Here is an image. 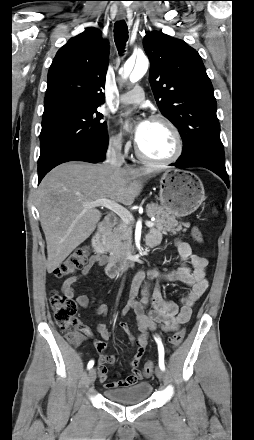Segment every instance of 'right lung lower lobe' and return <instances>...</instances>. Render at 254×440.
<instances>
[{
  "mask_svg": "<svg viewBox=\"0 0 254 440\" xmlns=\"http://www.w3.org/2000/svg\"><path fill=\"white\" fill-rule=\"evenodd\" d=\"M108 146V137L105 141L99 144H89L66 153L64 156L59 157L49 162L45 168L38 172V184L42 178L57 165L68 161H85L91 163H97L104 159V155Z\"/></svg>",
  "mask_w": 254,
  "mask_h": 440,
  "instance_id": "1",
  "label": "right lung lower lobe"
}]
</instances>
